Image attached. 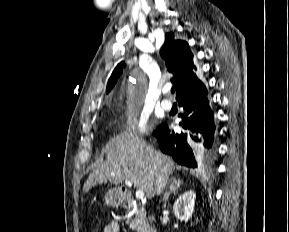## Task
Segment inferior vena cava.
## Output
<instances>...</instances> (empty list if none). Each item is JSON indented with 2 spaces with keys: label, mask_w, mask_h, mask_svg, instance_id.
I'll return each mask as SVG.
<instances>
[{
  "label": "inferior vena cava",
  "mask_w": 289,
  "mask_h": 232,
  "mask_svg": "<svg viewBox=\"0 0 289 232\" xmlns=\"http://www.w3.org/2000/svg\"><path fill=\"white\" fill-rule=\"evenodd\" d=\"M168 180V175L167 173L163 172L161 168H159V175L156 180V192L157 195H160L165 188Z\"/></svg>",
  "instance_id": "602c4592"
}]
</instances>
